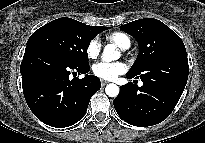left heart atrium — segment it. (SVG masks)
I'll use <instances>...</instances> for the list:
<instances>
[{
    "label": "left heart atrium",
    "mask_w": 205,
    "mask_h": 143,
    "mask_svg": "<svg viewBox=\"0 0 205 143\" xmlns=\"http://www.w3.org/2000/svg\"><path fill=\"white\" fill-rule=\"evenodd\" d=\"M127 67L122 62L99 61L92 66L93 74L101 79L113 80L123 74Z\"/></svg>",
    "instance_id": "1"
}]
</instances>
